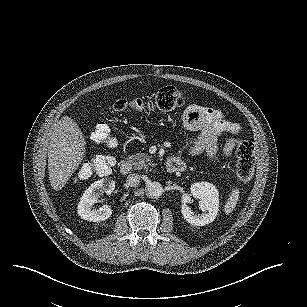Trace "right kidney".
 <instances>
[{"label": "right kidney", "instance_id": "ca27d5eb", "mask_svg": "<svg viewBox=\"0 0 307 307\" xmlns=\"http://www.w3.org/2000/svg\"><path fill=\"white\" fill-rule=\"evenodd\" d=\"M114 189L115 181L111 178H103L92 183L78 203V216L90 222H101L108 219L112 215L110 207L103 205L98 210H93L92 207L99 201L101 193L111 194Z\"/></svg>", "mask_w": 307, "mask_h": 307}]
</instances>
